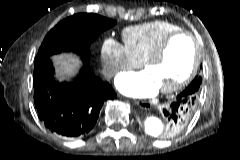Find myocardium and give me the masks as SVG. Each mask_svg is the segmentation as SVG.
I'll list each match as a JSON object with an SVG mask.
<instances>
[{"label": "myocardium", "instance_id": "f54148a6", "mask_svg": "<svg viewBox=\"0 0 240 160\" xmlns=\"http://www.w3.org/2000/svg\"><path fill=\"white\" fill-rule=\"evenodd\" d=\"M179 36H185V37L189 38V40L191 41L193 48H194V54H195L194 62H193V65H192L190 71L187 73V75L184 78H182L180 81H178L177 83H175L173 85L160 88V91L162 93H172V92H176V91L184 88L186 85H188L193 80V78L197 74V71H198L200 63H201V57H202L201 48H200V45H199L197 39L194 37L193 34H191L188 31H185V30H179V31L172 32V33L166 35L160 41V43L156 46V48L141 62V66L146 69L147 66L159 61L163 57L168 44L174 38L179 37Z\"/></svg>", "mask_w": 240, "mask_h": 160}]
</instances>
